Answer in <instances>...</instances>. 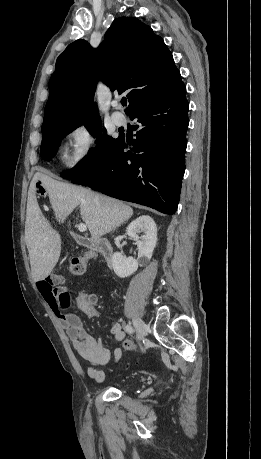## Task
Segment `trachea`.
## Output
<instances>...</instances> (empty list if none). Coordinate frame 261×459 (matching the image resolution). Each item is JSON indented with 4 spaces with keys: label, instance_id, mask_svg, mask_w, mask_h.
Masks as SVG:
<instances>
[{
    "label": "trachea",
    "instance_id": "obj_1",
    "mask_svg": "<svg viewBox=\"0 0 261 459\" xmlns=\"http://www.w3.org/2000/svg\"><path fill=\"white\" fill-rule=\"evenodd\" d=\"M121 103H122L123 106H126L127 100H126V99H123V100L121 101Z\"/></svg>",
    "mask_w": 261,
    "mask_h": 459
}]
</instances>
